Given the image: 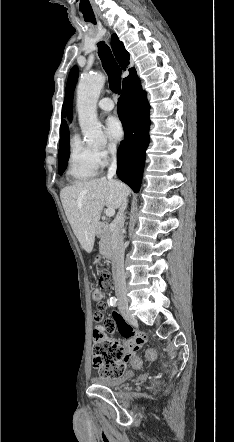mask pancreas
<instances>
[{
    "instance_id": "cf45deb5",
    "label": "pancreas",
    "mask_w": 234,
    "mask_h": 442,
    "mask_svg": "<svg viewBox=\"0 0 234 442\" xmlns=\"http://www.w3.org/2000/svg\"><path fill=\"white\" fill-rule=\"evenodd\" d=\"M100 251L102 254L108 255L111 250L110 245V232L108 229V224L103 225V231L101 234V241L99 243Z\"/></svg>"
}]
</instances>
